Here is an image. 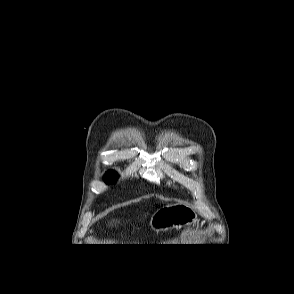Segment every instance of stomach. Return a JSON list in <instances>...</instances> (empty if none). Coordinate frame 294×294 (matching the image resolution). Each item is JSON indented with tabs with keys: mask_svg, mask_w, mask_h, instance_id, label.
Listing matches in <instances>:
<instances>
[{
	"mask_svg": "<svg viewBox=\"0 0 294 294\" xmlns=\"http://www.w3.org/2000/svg\"><path fill=\"white\" fill-rule=\"evenodd\" d=\"M197 221V216L191 208L182 204H168L153 214L150 226L159 232L195 224Z\"/></svg>",
	"mask_w": 294,
	"mask_h": 294,
	"instance_id": "0dacf381",
	"label": "stomach"
}]
</instances>
